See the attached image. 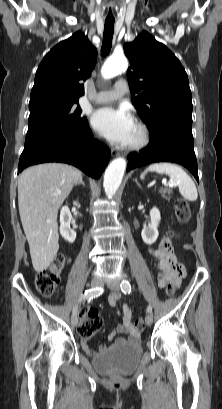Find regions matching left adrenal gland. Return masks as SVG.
<instances>
[{"instance_id": "a2214340", "label": "left adrenal gland", "mask_w": 222, "mask_h": 409, "mask_svg": "<svg viewBox=\"0 0 222 409\" xmlns=\"http://www.w3.org/2000/svg\"><path fill=\"white\" fill-rule=\"evenodd\" d=\"M134 181L136 182V184H137L138 186H140L139 183H138V181H137V179H135Z\"/></svg>"}]
</instances>
